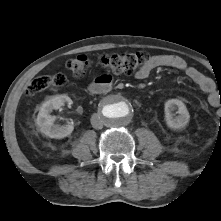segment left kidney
<instances>
[{"instance_id":"obj_1","label":"left kidney","mask_w":221,"mask_h":221,"mask_svg":"<svg viewBox=\"0 0 221 221\" xmlns=\"http://www.w3.org/2000/svg\"><path fill=\"white\" fill-rule=\"evenodd\" d=\"M177 109L178 116H173L171 111ZM165 122L173 130H182L189 123L190 115L185 104L179 99H169L165 102Z\"/></svg>"}]
</instances>
